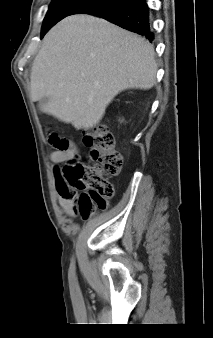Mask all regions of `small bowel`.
<instances>
[{
	"label": "small bowel",
	"mask_w": 213,
	"mask_h": 338,
	"mask_svg": "<svg viewBox=\"0 0 213 338\" xmlns=\"http://www.w3.org/2000/svg\"><path fill=\"white\" fill-rule=\"evenodd\" d=\"M48 141L54 146V150L51 152L53 161L67 160L76 154V148L73 145L65 151L59 150L57 146L61 143V139L54 132L48 134ZM58 203L68 215H73L77 210L81 212V208L88 205L89 200H86L84 196H74L66 189H63L58 192Z\"/></svg>",
	"instance_id": "small-bowel-1"
}]
</instances>
